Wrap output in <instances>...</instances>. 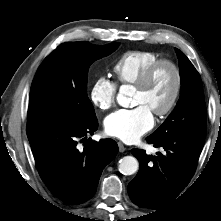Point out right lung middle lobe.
<instances>
[{
    "label": "right lung middle lobe",
    "instance_id": "dd1d6c3e",
    "mask_svg": "<svg viewBox=\"0 0 221 221\" xmlns=\"http://www.w3.org/2000/svg\"><path fill=\"white\" fill-rule=\"evenodd\" d=\"M118 43L93 45L89 42L64 43L40 65L31 85L28 121L55 117L70 122L96 119L87 96L90 65L112 53Z\"/></svg>",
    "mask_w": 221,
    "mask_h": 221
}]
</instances>
